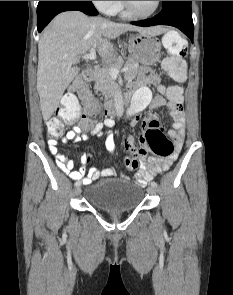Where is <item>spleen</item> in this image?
I'll list each match as a JSON object with an SVG mask.
<instances>
[{"instance_id":"spleen-1","label":"spleen","mask_w":233,"mask_h":295,"mask_svg":"<svg viewBox=\"0 0 233 295\" xmlns=\"http://www.w3.org/2000/svg\"><path fill=\"white\" fill-rule=\"evenodd\" d=\"M163 42L168 48V51L172 54L177 52L183 44L182 40H180L177 36L171 34H166L163 37ZM174 43H176V46H173Z\"/></svg>"}]
</instances>
